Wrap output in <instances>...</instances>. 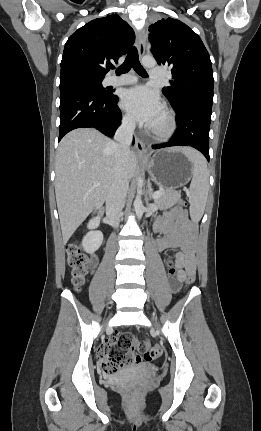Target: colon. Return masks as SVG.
Returning <instances> with one entry per match:
<instances>
[{
	"mask_svg": "<svg viewBox=\"0 0 261 431\" xmlns=\"http://www.w3.org/2000/svg\"><path fill=\"white\" fill-rule=\"evenodd\" d=\"M181 207L186 206L185 201H180ZM67 264L70 269L72 282L79 288L86 280L88 274V257L77 241H72L66 246ZM195 274L190 273L186 278L189 285L194 281ZM146 343V342H144ZM144 343H138L132 334L121 333L111 338L101 349L102 369L106 374H116L121 368L127 365H134L141 361L139 353L140 347ZM161 343H156L150 347L147 355L143 356L148 362L154 361L161 352ZM138 389L131 390V394H136Z\"/></svg>",
	"mask_w": 261,
	"mask_h": 431,
	"instance_id": "1",
	"label": "colon"
}]
</instances>
